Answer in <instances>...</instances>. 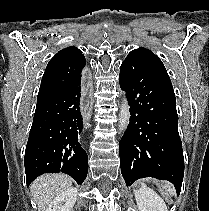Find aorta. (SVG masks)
Instances as JSON below:
<instances>
[{"label":"aorta","instance_id":"762f6f07","mask_svg":"<svg viewBox=\"0 0 209 211\" xmlns=\"http://www.w3.org/2000/svg\"><path fill=\"white\" fill-rule=\"evenodd\" d=\"M130 106L128 104V100L126 98V96H123L122 99V104H121V108H120V113H119V129L120 131H124L130 121Z\"/></svg>","mask_w":209,"mask_h":211}]
</instances>
